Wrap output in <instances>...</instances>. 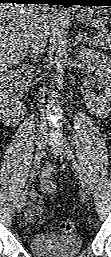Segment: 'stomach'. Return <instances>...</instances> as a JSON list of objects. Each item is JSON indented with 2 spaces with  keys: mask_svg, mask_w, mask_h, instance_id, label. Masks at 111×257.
<instances>
[{
  "mask_svg": "<svg viewBox=\"0 0 111 257\" xmlns=\"http://www.w3.org/2000/svg\"><path fill=\"white\" fill-rule=\"evenodd\" d=\"M76 18L81 24L97 29H102L109 20L107 10L103 7L83 8Z\"/></svg>",
  "mask_w": 111,
  "mask_h": 257,
  "instance_id": "obj_1",
  "label": "stomach"
}]
</instances>
